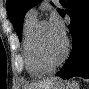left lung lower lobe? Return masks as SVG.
Segmentation results:
<instances>
[{
    "mask_svg": "<svg viewBox=\"0 0 89 89\" xmlns=\"http://www.w3.org/2000/svg\"><path fill=\"white\" fill-rule=\"evenodd\" d=\"M66 12L60 10L62 17L71 18L69 29L73 38L70 56L62 69L56 74L63 79L74 76L89 78V0H67Z\"/></svg>",
    "mask_w": 89,
    "mask_h": 89,
    "instance_id": "obj_1",
    "label": "left lung lower lobe"
}]
</instances>
